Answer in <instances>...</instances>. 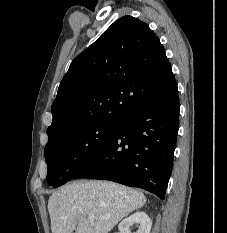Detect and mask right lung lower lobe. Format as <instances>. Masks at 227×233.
Returning a JSON list of instances; mask_svg holds the SVG:
<instances>
[{"label": "right lung lower lobe", "mask_w": 227, "mask_h": 233, "mask_svg": "<svg viewBox=\"0 0 227 233\" xmlns=\"http://www.w3.org/2000/svg\"><path fill=\"white\" fill-rule=\"evenodd\" d=\"M179 109L175 82L123 117L114 135L72 179L115 181L164 199L173 167Z\"/></svg>", "instance_id": "98d812e1"}]
</instances>
